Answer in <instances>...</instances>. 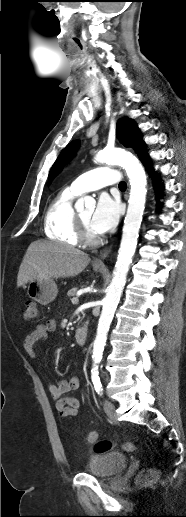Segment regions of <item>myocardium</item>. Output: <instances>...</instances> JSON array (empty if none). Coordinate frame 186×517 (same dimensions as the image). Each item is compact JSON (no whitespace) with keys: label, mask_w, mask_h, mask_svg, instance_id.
I'll list each match as a JSON object with an SVG mask.
<instances>
[{"label":"myocardium","mask_w":186,"mask_h":517,"mask_svg":"<svg viewBox=\"0 0 186 517\" xmlns=\"http://www.w3.org/2000/svg\"><path fill=\"white\" fill-rule=\"evenodd\" d=\"M78 238L79 241L86 245H96L100 242V237L93 234L82 220L81 216L77 214Z\"/></svg>","instance_id":"1"}]
</instances>
